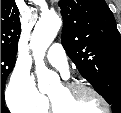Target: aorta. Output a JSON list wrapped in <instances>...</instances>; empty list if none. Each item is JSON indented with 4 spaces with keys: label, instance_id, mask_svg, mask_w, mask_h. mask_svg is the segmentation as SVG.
<instances>
[{
    "label": "aorta",
    "instance_id": "aorta-1",
    "mask_svg": "<svg viewBox=\"0 0 121 113\" xmlns=\"http://www.w3.org/2000/svg\"><path fill=\"white\" fill-rule=\"evenodd\" d=\"M61 26V19L55 13L43 14L36 23L31 36L30 46L33 51L39 90L45 92L50 83L57 79L54 72L44 64L43 58Z\"/></svg>",
    "mask_w": 121,
    "mask_h": 113
}]
</instances>
